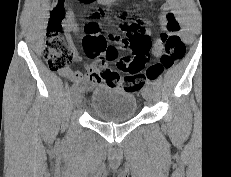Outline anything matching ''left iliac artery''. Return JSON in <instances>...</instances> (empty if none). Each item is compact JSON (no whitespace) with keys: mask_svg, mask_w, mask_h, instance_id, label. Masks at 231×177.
Here are the masks:
<instances>
[{"mask_svg":"<svg viewBox=\"0 0 231 177\" xmlns=\"http://www.w3.org/2000/svg\"><path fill=\"white\" fill-rule=\"evenodd\" d=\"M153 83L151 81L148 82V85H152Z\"/></svg>","mask_w":231,"mask_h":177,"instance_id":"44dca946","label":"left iliac artery"}]
</instances>
